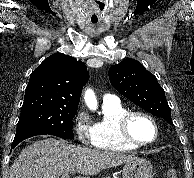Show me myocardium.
<instances>
[{
  "label": "myocardium",
  "instance_id": "f54148a6",
  "mask_svg": "<svg viewBox=\"0 0 194 178\" xmlns=\"http://www.w3.org/2000/svg\"><path fill=\"white\" fill-rule=\"evenodd\" d=\"M135 116H141L147 119L154 127L155 136L151 141L141 142L136 140L134 137H132L129 131V124L132 118ZM117 130H118L119 137L122 141H124L127 144L133 145L135 147L149 146L155 143L159 138V127H158L157 121L152 115L141 110H128L127 112H125L117 121Z\"/></svg>",
  "mask_w": 194,
  "mask_h": 178
}]
</instances>
